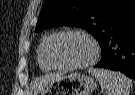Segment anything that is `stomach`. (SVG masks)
Returning <instances> with one entry per match:
<instances>
[{
	"instance_id": "obj_1",
	"label": "stomach",
	"mask_w": 135,
	"mask_h": 95,
	"mask_svg": "<svg viewBox=\"0 0 135 95\" xmlns=\"http://www.w3.org/2000/svg\"><path fill=\"white\" fill-rule=\"evenodd\" d=\"M96 88L94 78L74 72L51 81L36 95H91Z\"/></svg>"
}]
</instances>
